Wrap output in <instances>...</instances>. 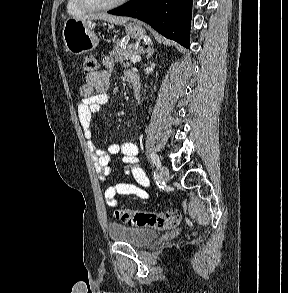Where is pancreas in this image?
Segmentation results:
<instances>
[{
  "instance_id": "1",
  "label": "pancreas",
  "mask_w": 288,
  "mask_h": 293,
  "mask_svg": "<svg viewBox=\"0 0 288 293\" xmlns=\"http://www.w3.org/2000/svg\"><path fill=\"white\" fill-rule=\"evenodd\" d=\"M140 50L136 48L135 45H127V41L117 40L113 47V51L110 55L113 56L116 61L123 63L124 65H129L128 60L134 55H139ZM126 61V63H125Z\"/></svg>"
}]
</instances>
